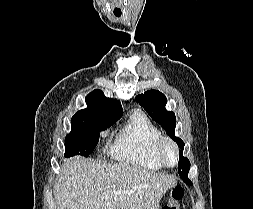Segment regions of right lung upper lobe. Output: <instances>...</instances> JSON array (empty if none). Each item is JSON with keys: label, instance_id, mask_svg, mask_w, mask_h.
Masks as SVG:
<instances>
[{"label": "right lung upper lobe", "instance_id": "right-lung-upper-lobe-1", "mask_svg": "<svg viewBox=\"0 0 253 209\" xmlns=\"http://www.w3.org/2000/svg\"><path fill=\"white\" fill-rule=\"evenodd\" d=\"M87 108L78 111L71 119L76 120L88 116H98L105 119L120 118L123 114L120 103L104 96L101 90H94L86 97Z\"/></svg>", "mask_w": 253, "mask_h": 209}]
</instances>
